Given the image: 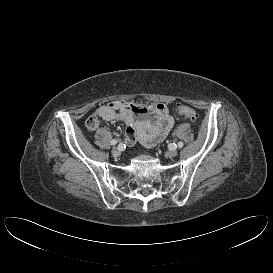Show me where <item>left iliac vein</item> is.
Returning a JSON list of instances; mask_svg holds the SVG:
<instances>
[{
    "instance_id": "obj_1",
    "label": "left iliac vein",
    "mask_w": 273,
    "mask_h": 273,
    "mask_svg": "<svg viewBox=\"0 0 273 273\" xmlns=\"http://www.w3.org/2000/svg\"><path fill=\"white\" fill-rule=\"evenodd\" d=\"M177 154H178L177 150L173 149V150L168 151V152L166 153V156H167L168 158H173V157H175Z\"/></svg>"
}]
</instances>
